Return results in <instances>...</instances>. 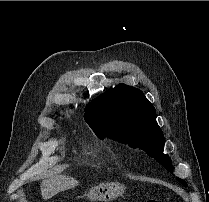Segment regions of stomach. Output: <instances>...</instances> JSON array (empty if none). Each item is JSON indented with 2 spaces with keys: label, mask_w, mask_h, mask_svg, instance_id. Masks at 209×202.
<instances>
[{
  "label": "stomach",
  "mask_w": 209,
  "mask_h": 202,
  "mask_svg": "<svg viewBox=\"0 0 209 202\" xmlns=\"http://www.w3.org/2000/svg\"><path fill=\"white\" fill-rule=\"evenodd\" d=\"M125 192L124 185L117 182H103L90 188L87 198L91 202L103 201L110 202Z\"/></svg>",
  "instance_id": "stomach-1"
}]
</instances>
